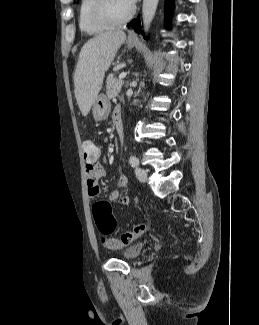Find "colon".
Returning <instances> with one entry per match:
<instances>
[{
    "mask_svg": "<svg viewBox=\"0 0 259 325\" xmlns=\"http://www.w3.org/2000/svg\"><path fill=\"white\" fill-rule=\"evenodd\" d=\"M82 150L85 160H95L98 157L99 150L97 146L90 140L82 143ZM93 217L98 230L105 235L102 238L103 245L108 249H118L126 247L141 237L147 225L144 223L136 224L130 231L122 233L119 237H108L107 235L114 232L116 228V220L112 214V207L108 201H98L93 205Z\"/></svg>",
    "mask_w": 259,
    "mask_h": 325,
    "instance_id": "5ec220e1",
    "label": "colon"
}]
</instances>
